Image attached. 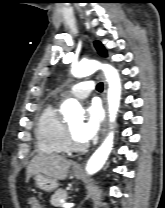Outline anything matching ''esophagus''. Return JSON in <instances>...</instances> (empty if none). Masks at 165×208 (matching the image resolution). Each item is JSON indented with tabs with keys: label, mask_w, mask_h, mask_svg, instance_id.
Masks as SVG:
<instances>
[{
	"label": "esophagus",
	"mask_w": 165,
	"mask_h": 208,
	"mask_svg": "<svg viewBox=\"0 0 165 208\" xmlns=\"http://www.w3.org/2000/svg\"><path fill=\"white\" fill-rule=\"evenodd\" d=\"M99 74H100V77L102 78V80L104 82L103 102H104V108H105V119H104V122H103L102 131H101V140H102V138H103V136L106 132V126H107V101H106L107 84H106L103 73L100 72ZM75 169L79 170V169H81V167L77 166V167H75Z\"/></svg>",
	"instance_id": "esophagus-1"
}]
</instances>
